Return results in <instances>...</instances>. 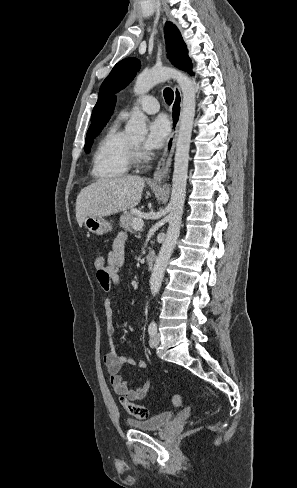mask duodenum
<instances>
[{
  "mask_svg": "<svg viewBox=\"0 0 297 488\" xmlns=\"http://www.w3.org/2000/svg\"><path fill=\"white\" fill-rule=\"evenodd\" d=\"M155 260V253L153 251H148L147 256H146V263L148 265H152Z\"/></svg>",
  "mask_w": 297,
  "mask_h": 488,
  "instance_id": "obj_1",
  "label": "duodenum"
}]
</instances>
